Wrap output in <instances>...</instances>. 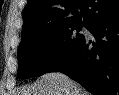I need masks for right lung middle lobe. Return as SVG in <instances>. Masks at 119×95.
Masks as SVG:
<instances>
[{"mask_svg": "<svg viewBox=\"0 0 119 95\" xmlns=\"http://www.w3.org/2000/svg\"><path fill=\"white\" fill-rule=\"evenodd\" d=\"M79 23L47 24L22 36L18 47V77L47 73L85 36Z\"/></svg>", "mask_w": 119, "mask_h": 95, "instance_id": "obj_1", "label": "right lung middle lobe"}]
</instances>
